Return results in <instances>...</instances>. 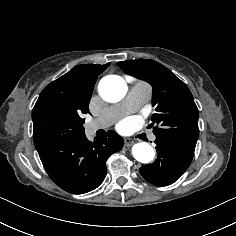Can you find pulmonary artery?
I'll return each mask as SVG.
<instances>
[{
    "label": "pulmonary artery",
    "instance_id": "e3ab8cb5",
    "mask_svg": "<svg viewBox=\"0 0 236 236\" xmlns=\"http://www.w3.org/2000/svg\"><path fill=\"white\" fill-rule=\"evenodd\" d=\"M141 93H145V98L140 97ZM149 93L150 88L147 85H135L123 102L109 108L103 116L89 121L86 124L87 133L92 135L99 129L109 127L117 117L134 112L147 100ZM154 139L155 137L152 136V140Z\"/></svg>",
    "mask_w": 236,
    "mask_h": 236
}]
</instances>
